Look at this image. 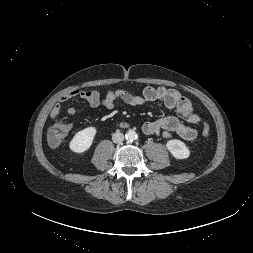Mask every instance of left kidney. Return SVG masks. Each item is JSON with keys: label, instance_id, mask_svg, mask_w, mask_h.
Wrapping results in <instances>:
<instances>
[{"label": "left kidney", "instance_id": "obj_1", "mask_svg": "<svg viewBox=\"0 0 253 253\" xmlns=\"http://www.w3.org/2000/svg\"><path fill=\"white\" fill-rule=\"evenodd\" d=\"M166 147L176 159H186L190 156V150L181 140H169L166 143Z\"/></svg>", "mask_w": 253, "mask_h": 253}]
</instances>
